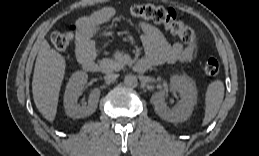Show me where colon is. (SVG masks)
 Returning <instances> with one entry per match:
<instances>
[{
    "mask_svg": "<svg viewBox=\"0 0 259 156\" xmlns=\"http://www.w3.org/2000/svg\"><path fill=\"white\" fill-rule=\"evenodd\" d=\"M128 12L132 16L163 24L186 43H193L197 39L196 32L192 28L185 26L173 9L141 3L132 5ZM76 30L77 25H72L68 30L52 33L51 43L53 47L57 50H65L71 44ZM204 71L209 76L216 75L219 72L218 61L214 58L208 59L204 65Z\"/></svg>",
    "mask_w": 259,
    "mask_h": 156,
    "instance_id": "obj_1",
    "label": "colon"
}]
</instances>
